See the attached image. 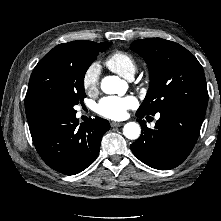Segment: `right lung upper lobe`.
<instances>
[{"mask_svg":"<svg viewBox=\"0 0 221 221\" xmlns=\"http://www.w3.org/2000/svg\"><path fill=\"white\" fill-rule=\"evenodd\" d=\"M87 42H89V41H72L69 43H63V44L57 45L56 47H54L50 52H48L43 57V59L34 68L32 74H31L30 80H29V86H28V90L26 93V97H25L26 110L30 109L32 107L40 106L38 103V100H37V93H38V89L41 84V79L38 74L39 66L43 62H45L49 59H52L60 54L66 53L70 49H72L76 46L85 44Z\"/></svg>","mask_w":221,"mask_h":221,"instance_id":"cb5924a9","label":"right lung upper lobe"}]
</instances>
